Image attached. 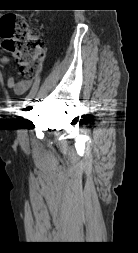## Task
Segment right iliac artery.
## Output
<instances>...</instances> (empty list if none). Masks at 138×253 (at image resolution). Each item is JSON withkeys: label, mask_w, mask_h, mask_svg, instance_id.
Masks as SVG:
<instances>
[{"label": "right iliac artery", "mask_w": 138, "mask_h": 253, "mask_svg": "<svg viewBox=\"0 0 138 253\" xmlns=\"http://www.w3.org/2000/svg\"><path fill=\"white\" fill-rule=\"evenodd\" d=\"M41 80L40 76L36 77V81L34 82L31 91L29 94L26 95V97L24 98V104H25V109H27V107L29 106V104H31V102L33 101V97L35 96L38 86H39V81Z\"/></svg>", "instance_id": "right-iliac-artery-1"}]
</instances>
